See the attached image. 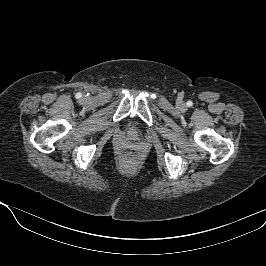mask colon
<instances>
[{"label":"colon","mask_w":266,"mask_h":266,"mask_svg":"<svg viewBox=\"0 0 266 266\" xmlns=\"http://www.w3.org/2000/svg\"><path fill=\"white\" fill-rule=\"evenodd\" d=\"M134 157H135L134 153H130V154H129V158H130V159H134Z\"/></svg>","instance_id":"5ec220e1"}]
</instances>
